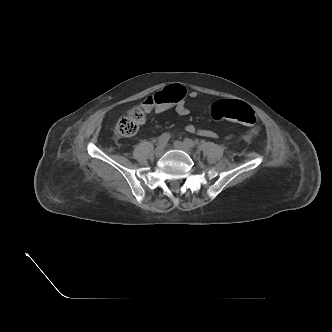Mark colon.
Wrapping results in <instances>:
<instances>
[{"label": "colon", "instance_id": "1", "mask_svg": "<svg viewBox=\"0 0 332 332\" xmlns=\"http://www.w3.org/2000/svg\"><path fill=\"white\" fill-rule=\"evenodd\" d=\"M185 94V88L179 84L165 87L154 96L149 97L143 103V108L134 107L122 116L116 124V134L120 137L133 136L144 123L145 106L175 104L181 101ZM211 117L216 121L229 120L248 126L254 125L256 122L255 112L248 104L230 99L215 102L211 107Z\"/></svg>", "mask_w": 332, "mask_h": 332}]
</instances>
